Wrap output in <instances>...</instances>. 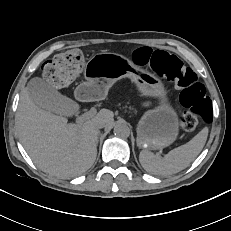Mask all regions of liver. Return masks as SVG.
<instances>
[{
    "mask_svg": "<svg viewBox=\"0 0 231 231\" xmlns=\"http://www.w3.org/2000/svg\"><path fill=\"white\" fill-rule=\"evenodd\" d=\"M100 123L111 128L113 112L101 109L83 122L68 123L66 117L36 106L27 88L20 96L17 111L20 140L33 162L52 176L76 177L94 164Z\"/></svg>",
    "mask_w": 231,
    "mask_h": 231,
    "instance_id": "6515ba94",
    "label": "liver"
}]
</instances>
